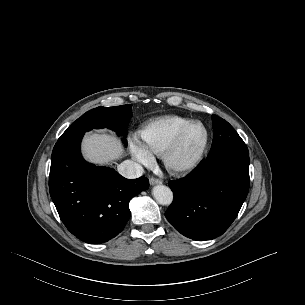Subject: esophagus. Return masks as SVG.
Wrapping results in <instances>:
<instances>
[{"mask_svg": "<svg viewBox=\"0 0 305 305\" xmlns=\"http://www.w3.org/2000/svg\"><path fill=\"white\" fill-rule=\"evenodd\" d=\"M150 185H158V184H162V181L158 178L155 177H151L149 179Z\"/></svg>", "mask_w": 305, "mask_h": 305, "instance_id": "34e87169", "label": "esophagus"}]
</instances>
